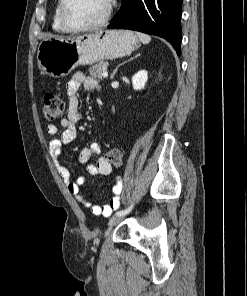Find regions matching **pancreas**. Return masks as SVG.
<instances>
[{
	"label": "pancreas",
	"mask_w": 247,
	"mask_h": 296,
	"mask_svg": "<svg viewBox=\"0 0 247 296\" xmlns=\"http://www.w3.org/2000/svg\"><path fill=\"white\" fill-rule=\"evenodd\" d=\"M107 62H99L92 67L89 68V73L91 77L101 80L102 79V73L107 68Z\"/></svg>",
	"instance_id": "cf45deb5"
}]
</instances>
